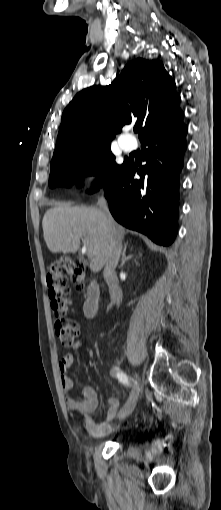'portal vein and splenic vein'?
<instances>
[{
	"label": "portal vein and splenic vein",
	"instance_id": "18ae733b",
	"mask_svg": "<svg viewBox=\"0 0 221 510\" xmlns=\"http://www.w3.org/2000/svg\"><path fill=\"white\" fill-rule=\"evenodd\" d=\"M84 245H85V248H86V255H87V257H88V258H92V257H93V251H92V249H91V248H89V247H87V245H86V244H84Z\"/></svg>",
	"mask_w": 221,
	"mask_h": 510
}]
</instances>
